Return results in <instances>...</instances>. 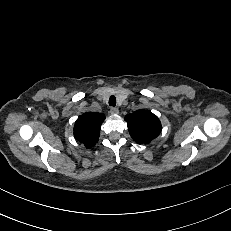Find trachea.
<instances>
[{"instance_id": "trachea-1", "label": "trachea", "mask_w": 231, "mask_h": 231, "mask_svg": "<svg viewBox=\"0 0 231 231\" xmlns=\"http://www.w3.org/2000/svg\"><path fill=\"white\" fill-rule=\"evenodd\" d=\"M109 105L112 106V107H115V105H116V98H115V96H111L109 98Z\"/></svg>"}]
</instances>
